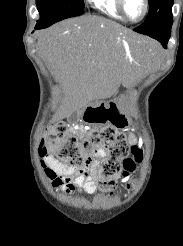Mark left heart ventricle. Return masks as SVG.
Listing matches in <instances>:
<instances>
[{"label":"left heart ventricle","instance_id":"b2bd125f","mask_svg":"<svg viewBox=\"0 0 183 246\" xmlns=\"http://www.w3.org/2000/svg\"><path fill=\"white\" fill-rule=\"evenodd\" d=\"M125 7L127 15L133 20L139 19L144 10L142 0H126Z\"/></svg>","mask_w":183,"mask_h":246}]
</instances>
